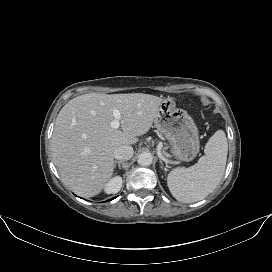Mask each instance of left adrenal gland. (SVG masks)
Here are the masks:
<instances>
[{"label":"left adrenal gland","instance_id":"left-adrenal-gland-1","mask_svg":"<svg viewBox=\"0 0 272 272\" xmlns=\"http://www.w3.org/2000/svg\"><path fill=\"white\" fill-rule=\"evenodd\" d=\"M161 168H163V162L160 160Z\"/></svg>","mask_w":272,"mask_h":272}]
</instances>
